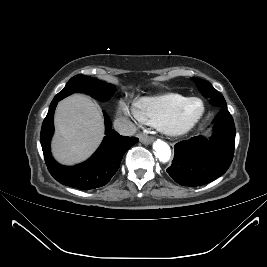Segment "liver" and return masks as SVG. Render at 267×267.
I'll use <instances>...</instances> for the list:
<instances>
[{
    "label": "liver",
    "instance_id": "obj_1",
    "mask_svg": "<svg viewBox=\"0 0 267 267\" xmlns=\"http://www.w3.org/2000/svg\"><path fill=\"white\" fill-rule=\"evenodd\" d=\"M54 122L53 155L66 165L87 159L104 137V121L99 109L81 94L71 95L58 103Z\"/></svg>",
    "mask_w": 267,
    "mask_h": 267
}]
</instances>
